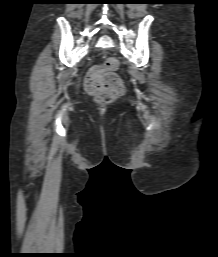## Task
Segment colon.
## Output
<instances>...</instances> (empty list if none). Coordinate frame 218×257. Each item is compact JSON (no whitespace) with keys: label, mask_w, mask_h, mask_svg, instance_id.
Wrapping results in <instances>:
<instances>
[{"label":"colon","mask_w":218,"mask_h":257,"mask_svg":"<svg viewBox=\"0 0 218 257\" xmlns=\"http://www.w3.org/2000/svg\"><path fill=\"white\" fill-rule=\"evenodd\" d=\"M118 66V60L110 57L103 67L91 68L85 78L87 91L102 102H111L122 95L125 90L124 84L114 73Z\"/></svg>","instance_id":"1"}]
</instances>
